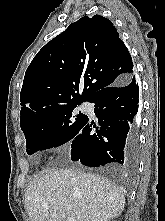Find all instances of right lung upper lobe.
Instances as JSON below:
<instances>
[{
  "label": "right lung upper lobe",
  "mask_w": 165,
  "mask_h": 221,
  "mask_svg": "<svg viewBox=\"0 0 165 221\" xmlns=\"http://www.w3.org/2000/svg\"><path fill=\"white\" fill-rule=\"evenodd\" d=\"M133 75L132 58L113 23L100 15L82 17L48 42L27 68L20 123L89 101L101 89Z\"/></svg>",
  "instance_id": "cb5924a9"
}]
</instances>
